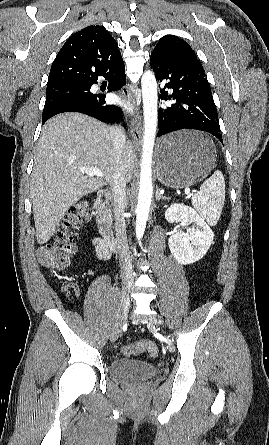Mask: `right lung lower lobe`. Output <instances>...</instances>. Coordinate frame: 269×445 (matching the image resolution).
Masks as SVG:
<instances>
[{"label":"right lung lower lobe","mask_w":269,"mask_h":445,"mask_svg":"<svg viewBox=\"0 0 269 445\" xmlns=\"http://www.w3.org/2000/svg\"><path fill=\"white\" fill-rule=\"evenodd\" d=\"M98 76H103L109 80L108 92L121 89L126 84L123 60ZM98 76L88 84L92 86L94 83H97ZM63 112H80L107 123H114L122 119L121 109L114 105H107L105 95L103 94H92L85 99L64 105L58 108L50 117ZM50 117L43 120L42 124Z\"/></svg>","instance_id":"obj_1"}]
</instances>
